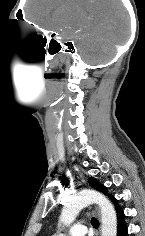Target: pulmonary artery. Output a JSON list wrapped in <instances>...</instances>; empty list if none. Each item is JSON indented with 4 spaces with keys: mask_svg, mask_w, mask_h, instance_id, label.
Masks as SVG:
<instances>
[{
    "mask_svg": "<svg viewBox=\"0 0 145 236\" xmlns=\"http://www.w3.org/2000/svg\"><path fill=\"white\" fill-rule=\"evenodd\" d=\"M87 231V228L79 223L70 228L68 235L69 236H84ZM56 236H65L64 234H58Z\"/></svg>",
    "mask_w": 145,
    "mask_h": 236,
    "instance_id": "pulmonary-artery-1",
    "label": "pulmonary artery"
}]
</instances>
